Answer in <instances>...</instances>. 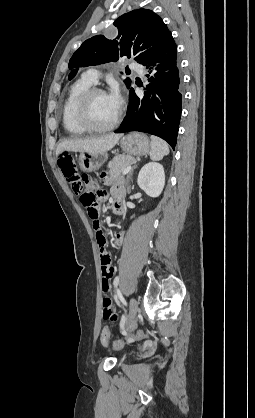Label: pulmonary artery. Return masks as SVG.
Listing matches in <instances>:
<instances>
[{"instance_id": "obj_1", "label": "pulmonary artery", "mask_w": 255, "mask_h": 418, "mask_svg": "<svg viewBox=\"0 0 255 418\" xmlns=\"http://www.w3.org/2000/svg\"><path fill=\"white\" fill-rule=\"evenodd\" d=\"M130 68L133 70L138 71L139 73H142L141 66L136 63H131ZM84 77L91 81L92 83H96L98 80V74L95 70H89L84 74Z\"/></svg>"}]
</instances>
